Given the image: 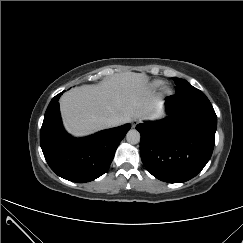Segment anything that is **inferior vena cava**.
Here are the masks:
<instances>
[{"instance_id":"602c4592","label":"inferior vena cava","mask_w":243,"mask_h":243,"mask_svg":"<svg viewBox=\"0 0 243 243\" xmlns=\"http://www.w3.org/2000/svg\"><path fill=\"white\" fill-rule=\"evenodd\" d=\"M122 123L121 119L116 116H112L106 119V125L108 127H115Z\"/></svg>"}]
</instances>
